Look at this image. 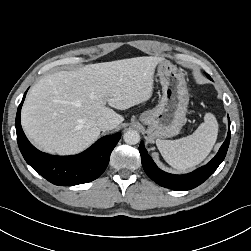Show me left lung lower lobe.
Here are the masks:
<instances>
[{"mask_svg": "<svg viewBox=\"0 0 251 251\" xmlns=\"http://www.w3.org/2000/svg\"><path fill=\"white\" fill-rule=\"evenodd\" d=\"M229 122V131L225 142L220 147L218 153L215 157L205 166L184 175H174L166 173L160 170L152 158L148 155L145 147L144 142L141 141L139 146V152L141 155V161L146 174L155 181L158 185L163 186L165 188L178 190V191H185L193 189L204 181H206L218 168L221 162L224 160L229 142H230V120Z\"/></svg>", "mask_w": 251, "mask_h": 251, "instance_id": "1", "label": "left lung lower lobe"}]
</instances>
